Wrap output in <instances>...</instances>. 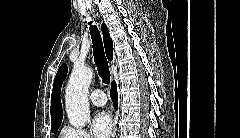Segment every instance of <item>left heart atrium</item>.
Wrapping results in <instances>:
<instances>
[{"label":"left heart atrium","mask_w":240,"mask_h":138,"mask_svg":"<svg viewBox=\"0 0 240 138\" xmlns=\"http://www.w3.org/2000/svg\"><path fill=\"white\" fill-rule=\"evenodd\" d=\"M91 130L97 138H107L112 131V120L105 111L98 112L91 124Z\"/></svg>","instance_id":"obj_1"}]
</instances>
